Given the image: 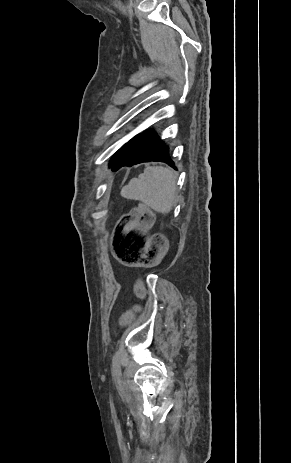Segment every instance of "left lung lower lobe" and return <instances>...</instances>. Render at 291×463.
Here are the masks:
<instances>
[{
  "mask_svg": "<svg viewBox=\"0 0 291 463\" xmlns=\"http://www.w3.org/2000/svg\"><path fill=\"white\" fill-rule=\"evenodd\" d=\"M150 161L164 162L176 169L169 156V147L159 139L154 131H151L144 141L128 154L121 158L112 159L110 167L116 171L122 166H132Z\"/></svg>",
  "mask_w": 291,
  "mask_h": 463,
  "instance_id": "obj_1",
  "label": "left lung lower lobe"
}]
</instances>
